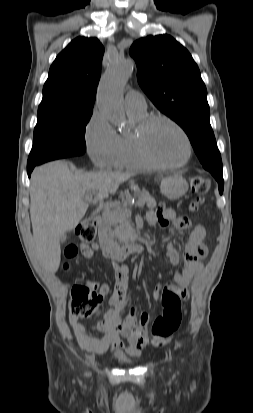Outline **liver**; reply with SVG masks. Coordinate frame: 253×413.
Returning <instances> with one entry per match:
<instances>
[{
    "instance_id": "1",
    "label": "liver",
    "mask_w": 253,
    "mask_h": 413,
    "mask_svg": "<svg viewBox=\"0 0 253 413\" xmlns=\"http://www.w3.org/2000/svg\"><path fill=\"white\" fill-rule=\"evenodd\" d=\"M132 174L99 171L73 172L65 161L37 167L31 176L30 217L40 264L55 273L61 261L60 238L84 217L86 193L96 190L94 202L114 194Z\"/></svg>"
}]
</instances>
